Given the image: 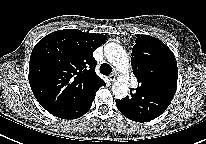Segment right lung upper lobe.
<instances>
[{"mask_svg": "<svg viewBox=\"0 0 206 144\" xmlns=\"http://www.w3.org/2000/svg\"><path fill=\"white\" fill-rule=\"evenodd\" d=\"M107 37L77 29L52 32L33 48L29 83L41 106L60 117L84 103L105 82L93 52Z\"/></svg>", "mask_w": 206, "mask_h": 144, "instance_id": "1", "label": "right lung upper lobe"}]
</instances>
